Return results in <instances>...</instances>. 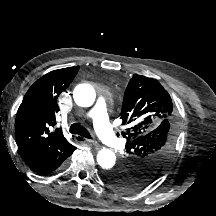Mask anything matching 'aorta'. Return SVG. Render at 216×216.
I'll list each match as a JSON object with an SVG mask.
<instances>
[{
    "mask_svg": "<svg viewBox=\"0 0 216 216\" xmlns=\"http://www.w3.org/2000/svg\"><path fill=\"white\" fill-rule=\"evenodd\" d=\"M75 103L81 107H90L94 104L96 93L89 84H80L73 91ZM116 156L109 149H101L97 154V163L103 169H111L115 165Z\"/></svg>",
    "mask_w": 216,
    "mask_h": 216,
    "instance_id": "aorta-1",
    "label": "aorta"
}]
</instances>
